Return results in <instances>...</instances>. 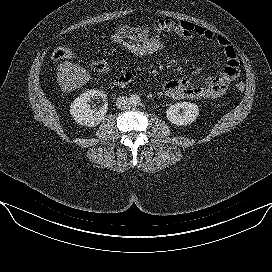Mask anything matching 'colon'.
Segmentation results:
<instances>
[{
    "label": "colon",
    "instance_id": "5ec220e1",
    "mask_svg": "<svg viewBox=\"0 0 272 272\" xmlns=\"http://www.w3.org/2000/svg\"><path fill=\"white\" fill-rule=\"evenodd\" d=\"M109 40L113 43V45L126 54L138 58L160 55L168 49L167 42L161 37H149L142 39L123 36L113 31L109 34ZM73 56V51L65 47H58L54 49L52 53V57L55 60L68 59L72 58ZM91 67L95 72L99 73L107 72L109 69L107 61L103 59L94 61ZM236 88L238 91L242 92L245 89V84L243 82H239L236 84Z\"/></svg>",
    "mask_w": 272,
    "mask_h": 272
}]
</instances>
